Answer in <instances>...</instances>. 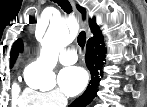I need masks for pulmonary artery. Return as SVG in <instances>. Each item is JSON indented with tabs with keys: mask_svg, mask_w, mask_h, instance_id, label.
Returning a JSON list of instances; mask_svg holds the SVG:
<instances>
[{
	"mask_svg": "<svg viewBox=\"0 0 147 107\" xmlns=\"http://www.w3.org/2000/svg\"><path fill=\"white\" fill-rule=\"evenodd\" d=\"M59 61L63 65L74 64L77 61L76 52L73 49H67L61 52Z\"/></svg>",
	"mask_w": 147,
	"mask_h": 107,
	"instance_id": "pulmonary-artery-1",
	"label": "pulmonary artery"
}]
</instances>
